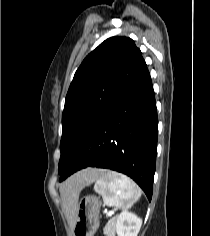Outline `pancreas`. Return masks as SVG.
<instances>
[{
  "instance_id": "cf45deb5",
  "label": "pancreas",
  "mask_w": 210,
  "mask_h": 236,
  "mask_svg": "<svg viewBox=\"0 0 210 236\" xmlns=\"http://www.w3.org/2000/svg\"><path fill=\"white\" fill-rule=\"evenodd\" d=\"M116 220V217H113L108 224L104 228V233L107 234V236H111V229L113 227V222Z\"/></svg>"
}]
</instances>
